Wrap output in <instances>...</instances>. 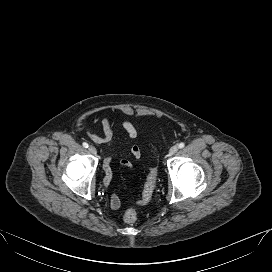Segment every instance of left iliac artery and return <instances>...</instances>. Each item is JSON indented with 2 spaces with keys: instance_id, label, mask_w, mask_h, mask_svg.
Masks as SVG:
<instances>
[{
  "instance_id": "obj_1",
  "label": "left iliac artery",
  "mask_w": 272,
  "mask_h": 272,
  "mask_svg": "<svg viewBox=\"0 0 272 272\" xmlns=\"http://www.w3.org/2000/svg\"><path fill=\"white\" fill-rule=\"evenodd\" d=\"M184 146H185V143H183V142H181V143L178 145L179 148H183Z\"/></svg>"
}]
</instances>
